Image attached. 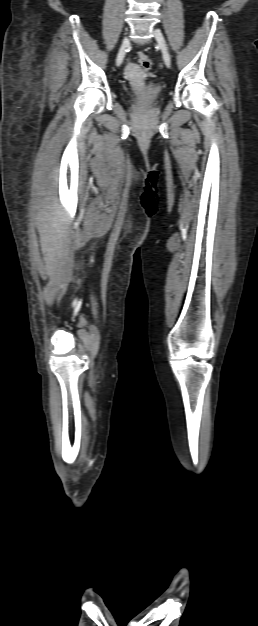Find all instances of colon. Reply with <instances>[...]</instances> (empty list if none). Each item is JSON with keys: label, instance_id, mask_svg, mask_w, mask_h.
<instances>
[{"label": "colon", "instance_id": "obj_1", "mask_svg": "<svg viewBox=\"0 0 258 626\" xmlns=\"http://www.w3.org/2000/svg\"><path fill=\"white\" fill-rule=\"evenodd\" d=\"M138 61L145 68L150 69L152 66V61L150 58L143 52L138 53Z\"/></svg>", "mask_w": 258, "mask_h": 626}]
</instances>
